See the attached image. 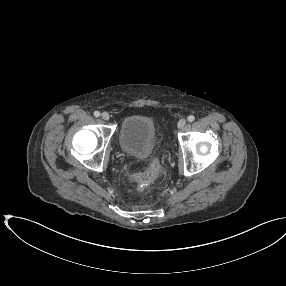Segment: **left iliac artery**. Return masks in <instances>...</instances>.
I'll list each match as a JSON object with an SVG mask.
<instances>
[{"mask_svg": "<svg viewBox=\"0 0 286 286\" xmlns=\"http://www.w3.org/2000/svg\"><path fill=\"white\" fill-rule=\"evenodd\" d=\"M195 120V117L193 115L188 116V121L193 122Z\"/></svg>", "mask_w": 286, "mask_h": 286, "instance_id": "left-iliac-artery-1", "label": "left iliac artery"}]
</instances>
